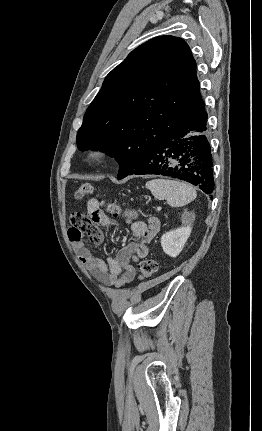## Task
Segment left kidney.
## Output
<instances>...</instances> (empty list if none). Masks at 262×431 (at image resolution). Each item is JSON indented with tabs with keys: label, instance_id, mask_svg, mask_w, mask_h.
Segmentation results:
<instances>
[{
	"label": "left kidney",
	"instance_id": "obj_1",
	"mask_svg": "<svg viewBox=\"0 0 262 431\" xmlns=\"http://www.w3.org/2000/svg\"><path fill=\"white\" fill-rule=\"evenodd\" d=\"M191 231V226H184L163 234L161 237L163 251L171 257H176L182 251Z\"/></svg>",
	"mask_w": 262,
	"mask_h": 431
}]
</instances>
